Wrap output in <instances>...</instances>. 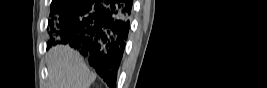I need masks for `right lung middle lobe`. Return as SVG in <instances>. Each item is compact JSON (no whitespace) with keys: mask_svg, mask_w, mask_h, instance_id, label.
Returning a JSON list of instances; mask_svg holds the SVG:
<instances>
[{"mask_svg":"<svg viewBox=\"0 0 267 88\" xmlns=\"http://www.w3.org/2000/svg\"><path fill=\"white\" fill-rule=\"evenodd\" d=\"M72 0H53L51 3V13L50 16L54 15V14H58L59 12H61L63 9H65ZM51 34V32H50ZM52 36V34H51Z\"/></svg>","mask_w":267,"mask_h":88,"instance_id":"obj_1","label":"right lung middle lobe"}]
</instances>
